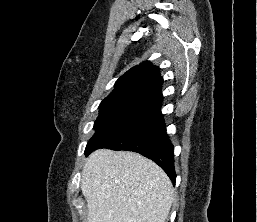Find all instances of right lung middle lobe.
<instances>
[{
  "mask_svg": "<svg viewBox=\"0 0 257 222\" xmlns=\"http://www.w3.org/2000/svg\"><path fill=\"white\" fill-rule=\"evenodd\" d=\"M160 112V105L143 100L102 101L96 130L85 152L100 147Z\"/></svg>",
  "mask_w": 257,
  "mask_h": 222,
  "instance_id": "dd1d6c3e",
  "label": "right lung middle lobe"
}]
</instances>
